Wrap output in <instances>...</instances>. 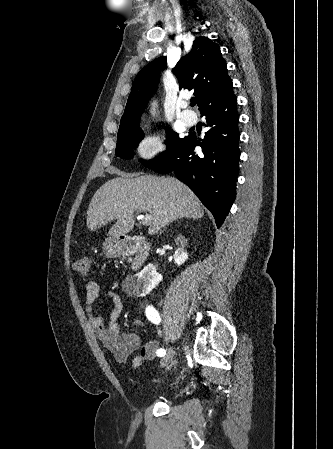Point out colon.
<instances>
[{
    "mask_svg": "<svg viewBox=\"0 0 333 449\" xmlns=\"http://www.w3.org/2000/svg\"><path fill=\"white\" fill-rule=\"evenodd\" d=\"M91 268V258L82 256L74 262V269L82 275H87Z\"/></svg>",
    "mask_w": 333,
    "mask_h": 449,
    "instance_id": "1",
    "label": "colon"
}]
</instances>
